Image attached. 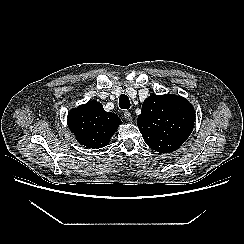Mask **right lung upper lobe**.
Listing matches in <instances>:
<instances>
[{"label": "right lung upper lobe", "mask_w": 244, "mask_h": 244, "mask_svg": "<svg viewBox=\"0 0 244 244\" xmlns=\"http://www.w3.org/2000/svg\"><path fill=\"white\" fill-rule=\"evenodd\" d=\"M121 123L116 114L106 112L97 101L80 105L72 109L68 115L69 129L77 141L92 149L108 145Z\"/></svg>", "instance_id": "1"}]
</instances>
